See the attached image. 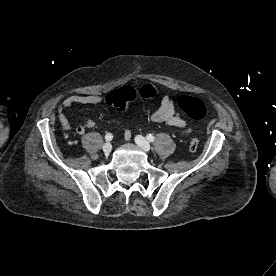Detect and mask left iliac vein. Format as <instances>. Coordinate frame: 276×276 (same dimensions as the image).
<instances>
[{
  "instance_id": "1",
  "label": "left iliac vein",
  "mask_w": 276,
  "mask_h": 276,
  "mask_svg": "<svg viewBox=\"0 0 276 276\" xmlns=\"http://www.w3.org/2000/svg\"><path fill=\"white\" fill-rule=\"evenodd\" d=\"M135 141L144 151L148 152L150 150V144L143 136L137 135Z\"/></svg>"
}]
</instances>
